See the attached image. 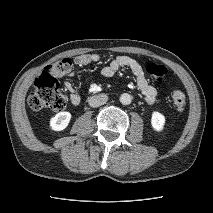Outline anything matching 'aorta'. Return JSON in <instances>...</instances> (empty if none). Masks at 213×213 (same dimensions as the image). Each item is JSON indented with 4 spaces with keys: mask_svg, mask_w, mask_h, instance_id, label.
Segmentation results:
<instances>
[{
    "mask_svg": "<svg viewBox=\"0 0 213 213\" xmlns=\"http://www.w3.org/2000/svg\"><path fill=\"white\" fill-rule=\"evenodd\" d=\"M120 102L123 104V105H128L132 102V97L130 94L128 93H123L121 94L120 96Z\"/></svg>",
    "mask_w": 213,
    "mask_h": 213,
    "instance_id": "762f6f07",
    "label": "aorta"
}]
</instances>
